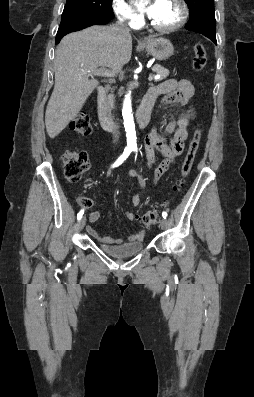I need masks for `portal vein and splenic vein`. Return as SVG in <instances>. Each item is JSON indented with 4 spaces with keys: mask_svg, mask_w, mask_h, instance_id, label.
<instances>
[{
    "mask_svg": "<svg viewBox=\"0 0 254 397\" xmlns=\"http://www.w3.org/2000/svg\"><path fill=\"white\" fill-rule=\"evenodd\" d=\"M92 74H94V75H102V76H107V77H112L114 75L113 73H111L109 70H107L105 68H99V69L93 71ZM158 78H160L159 75L155 77V79H158ZM148 80L152 81L153 80V76L149 75Z\"/></svg>",
    "mask_w": 254,
    "mask_h": 397,
    "instance_id": "1",
    "label": "portal vein and splenic vein"
}]
</instances>
